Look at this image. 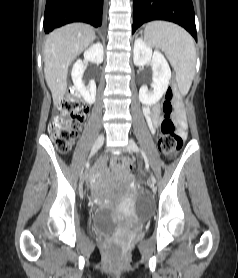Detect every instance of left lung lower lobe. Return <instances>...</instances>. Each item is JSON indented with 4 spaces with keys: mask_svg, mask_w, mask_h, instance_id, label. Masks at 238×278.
Wrapping results in <instances>:
<instances>
[{
    "mask_svg": "<svg viewBox=\"0 0 238 278\" xmlns=\"http://www.w3.org/2000/svg\"><path fill=\"white\" fill-rule=\"evenodd\" d=\"M152 20L177 23L197 41L192 0H134L132 33L143 23Z\"/></svg>",
    "mask_w": 238,
    "mask_h": 278,
    "instance_id": "1",
    "label": "left lung lower lobe"
}]
</instances>
